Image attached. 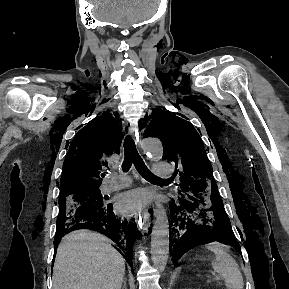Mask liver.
Returning a JSON list of instances; mask_svg holds the SVG:
<instances>
[{
    "label": "liver",
    "instance_id": "liver-1",
    "mask_svg": "<svg viewBox=\"0 0 289 289\" xmlns=\"http://www.w3.org/2000/svg\"><path fill=\"white\" fill-rule=\"evenodd\" d=\"M125 260L109 240L76 230L60 242L53 268V289H121Z\"/></svg>",
    "mask_w": 289,
    "mask_h": 289
}]
</instances>
